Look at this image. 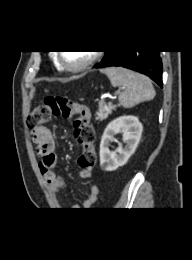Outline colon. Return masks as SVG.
I'll list each match as a JSON object with an SVG mask.
<instances>
[{
  "mask_svg": "<svg viewBox=\"0 0 192 260\" xmlns=\"http://www.w3.org/2000/svg\"><path fill=\"white\" fill-rule=\"evenodd\" d=\"M53 116L74 119L75 136L83 146L79 164L82 168H92L96 158V136L87 107L65 96H48L32 111L28 117V126L34 130L46 124Z\"/></svg>",
  "mask_w": 192,
  "mask_h": 260,
  "instance_id": "5ec220e1",
  "label": "colon"
}]
</instances>
